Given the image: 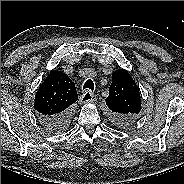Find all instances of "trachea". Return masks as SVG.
<instances>
[{"label":"trachea","instance_id":"3493384b","mask_svg":"<svg viewBox=\"0 0 184 184\" xmlns=\"http://www.w3.org/2000/svg\"><path fill=\"white\" fill-rule=\"evenodd\" d=\"M83 89H90L91 91L94 90V83L91 79H88L83 86Z\"/></svg>","mask_w":184,"mask_h":184}]
</instances>
